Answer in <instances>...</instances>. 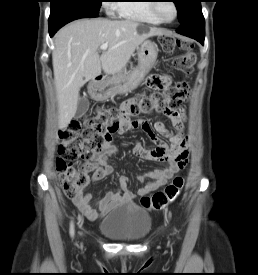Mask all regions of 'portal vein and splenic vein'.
<instances>
[{
  "label": "portal vein and splenic vein",
  "mask_w": 258,
  "mask_h": 275,
  "mask_svg": "<svg viewBox=\"0 0 258 275\" xmlns=\"http://www.w3.org/2000/svg\"><path fill=\"white\" fill-rule=\"evenodd\" d=\"M107 48H108V44H102V45L100 46V50H102V51L107 50Z\"/></svg>",
  "instance_id": "portal-vein-and-splenic-vein-1"
}]
</instances>
